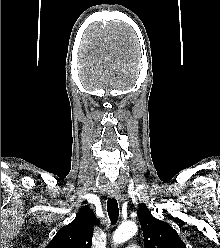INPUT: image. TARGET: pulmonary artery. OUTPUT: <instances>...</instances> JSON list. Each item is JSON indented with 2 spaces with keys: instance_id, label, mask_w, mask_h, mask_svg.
<instances>
[{
  "instance_id": "e3ab8cb5",
  "label": "pulmonary artery",
  "mask_w": 220,
  "mask_h": 248,
  "mask_svg": "<svg viewBox=\"0 0 220 248\" xmlns=\"http://www.w3.org/2000/svg\"><path fill=\"white\" fill-rule=\"evenodd\" d=\"M127 248H140L139 246L135 245V244H131L129 245Z\"/></svg>"
}]
</instances>
